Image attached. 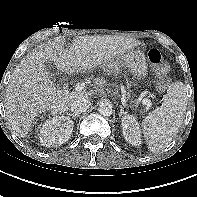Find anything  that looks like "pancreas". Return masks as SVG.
<instances>
[{
    "label": "pancreas",
    "instance_id": "cf45deb5",
    "mask_svg": "<svg viewBox=\"0 0 197 197\" xmlns=\"http://www.w3.org/2000/svg\"><path fill=\"white\" fill-rule=\"evenodd\" d=\"M96 81H97V84H101L102 82H103V80L102 79H96ZM124 95H125V99H130V95L128 94V93H124Z\"/></svg>",
    "mask_w": 197,
    "mask_h": 197
}]
</instances>
